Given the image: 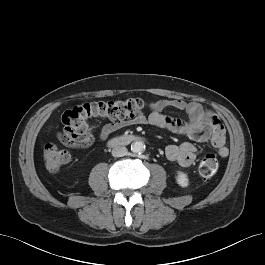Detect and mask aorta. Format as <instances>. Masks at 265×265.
Here are the masks:
<instances>
[{"label":"aorta","instance_id":"1","mask_svg":"<svg viewBox=\"0 0 265 265\" xmlns=\"http://www.w3.org/2000/svg\"><path fill=\"white\" fill-rule=\"evenodd\" d=\"M131 151L133 153H143L145 151V144L142 141H136L131 144Z\"/></svg>","mask_w":265,"mask_h":265}]
</instances>
